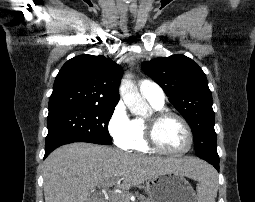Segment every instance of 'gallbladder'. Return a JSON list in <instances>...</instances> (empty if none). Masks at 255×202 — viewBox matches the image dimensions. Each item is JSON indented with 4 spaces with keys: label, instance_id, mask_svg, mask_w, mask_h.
I'll use <instances>...</instances> for the list:
<instances>
[{
    "label": "gallbladder",
    "instance_id": "1",
    "mask_svg": "<svg viewBox=\"0 0 255 202\" xmlns=\"http://www.w3.org/2000/svg\"><path fill=\"white\" fill-rule=\"evenodd\" d=\"M94 199H95V196L92 195V196H91V202H94Z\"/></svg>",
    "mask_w": 255,
    "mask_h": 202
}]
</instances>
